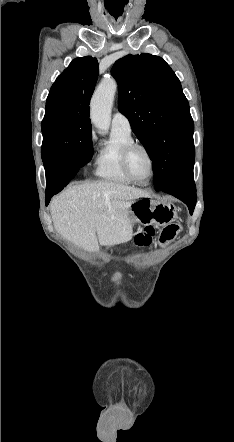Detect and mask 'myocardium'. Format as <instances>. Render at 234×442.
Returning <instances> with one entry per match:
<instances>
[{"instance_id": "myocardium-1", "label": "myocardium", "mask_w": 234, "mask_h": 442, "mask_svg": "<svg viewBox=\"0 0 234 442\" xmlns=\"http://www.w3.org/2000/svg\"><path fill=\"white\" fill-rule=\"evenodd\" d=\"M135 148H140L142 149L148 156L149 161H150V166H151V174L149 176V178L146 181H140L138 180L132 173L130 166H129V157L131 152L135 149ZM121 163H122V168L125 172V174L136 184L139 185H147L148 183H150V181L154 178L155 175V160L154 157L151 153V151L149 150V148L139 142H131L129 144H127L123 150H122V156H121Z\"/></svg>"}]
</instances>
